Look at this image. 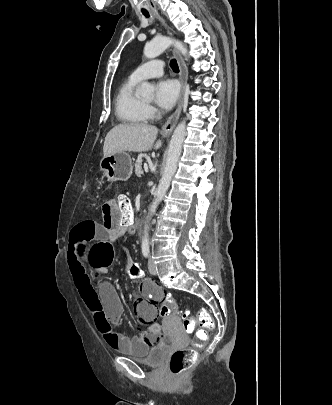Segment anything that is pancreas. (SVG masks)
Masks as SVG:
<instances>
[{"label": "pancreas", "mask_w": 332, "mask_h": 405, "mask_svg": "<svg viewBox=\"0 0 332 405\" xmlns=\"http://www.w3.org/2000/svg\"><path fill=\"white\" fill-rule=\"evenodd\" d=\"M135 174L137 177H141L142 175H144V172L142 170V161L141 160H137L135 162Z\"/></svg>", "instance_id": "1"}]
</instances>
